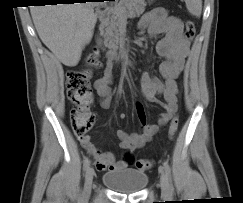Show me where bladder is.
Returning a JSON list of instances; mask_svg holds the SVG:
<instances>
[{
    "mask_svg": "<svg viewBox=\"0 0 243 203\" xmlns=\"http://www.w3.org/2000/svg\"><path fill=\"white\" fill-rule=\"evenodd\" d=\"M102 181L116 192L130 194L136 193L146 186L148 175L136 169L118 168L104 173Z\"/></svg>",
    "mask_w": 243,
    "mask_h": 203,
    "instance_id": "1",
    "label": "bladder"
}]
</instances>
